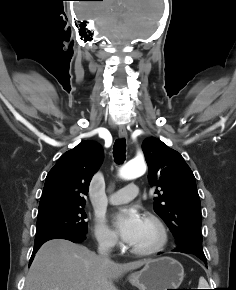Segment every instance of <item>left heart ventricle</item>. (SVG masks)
<instances>
[{"mask_svg": "<svg viewBox=\"0 0 236 290\" xmlns=\"http://www.w3.org/2000/svg\"><path fill=\"white\" fill-rule=\"evenodd\" d=\"M157 239V232L154 227L148 222L143 220L142 227L135 239V241L130 244L132 247H148L154 244Z\"/></svg>", "mask_w": 236, "mask_h": 290, "instance_id": "obj_1", "label": "left heart ventricle"}]
</instances>
